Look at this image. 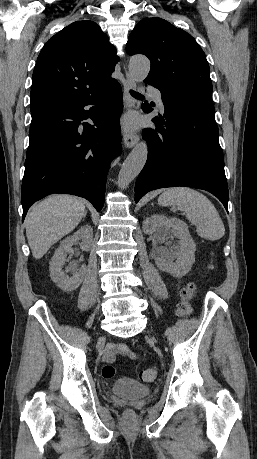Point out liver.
<instances>
[{
	"mask_svg": "<svg viewBox=\"0 0 257 459\" xmlns=\"http://www.w3.org/2000/svg\"><path fill=\"white\" fill-rule=\"evenodd\" d=\"M85 214L83 202L69 195H54L34 206L25 220L33 257L42 258L53 244L78 226Z\"/></svg>",
	"mask_w": 257,
	"mask_h": 459,
	"instance_id": "liver-1",
	"label": "liver"
}]
</instances>
